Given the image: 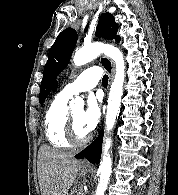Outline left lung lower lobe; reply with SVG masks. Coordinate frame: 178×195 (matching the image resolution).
<instances>
[{
  "instance_id": "0a47b994",
  "label": "left lung lower lobe",
  "mask_w": 178,
  "mask_h": 195,
  "mask_svg": "<svg viewBox=\"0 0 178 195\" xmlns=\"http://www.w3.org/2000/svg\"><path fill=\"white\" fill-rule=\"evenodd\" d=\"M103 131L100 132L98 138L90 144L87 148L77 154L75 157L78 159L87 158L91 163L98 164L102 151Z\"/></svg>"
}]
</instances>
